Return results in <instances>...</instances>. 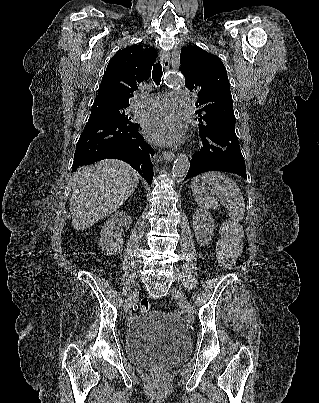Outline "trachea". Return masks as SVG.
<instances>
[{
    "instance_id": "trachea-1",
    "label": "trachea",
    "mask_w": 319,
    "mask_h": 403,
    "mask_svg": "<svg viewBox=\"0 0 319 403\" xmlns=\"http://www.w3.org/2000/svg\"><path fill=\"white\" fill-rule=\"evenodd\" d=\"M163 75L162 72V65L160 62H157L154 67H153V71H152V79L155 82V84L158 86L161 82V77Z\"/></svg>"
}]
</instances>
